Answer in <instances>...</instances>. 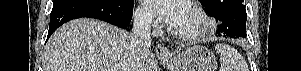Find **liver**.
<instances>
[{
  "label": "liver",
  "instance_id": "1",
  "mask_svg": "<svg viewBox=\"0 0 301 71\" xmlns=\"http://www.w3.org/2000/svg\"><path fill=\"white\" fill-rule=\"evenodd\" d=\"M154 64L133 34L89 18L58 28L43 54L44 71H154Z\"/></svg>",
  "mask_w": 301,
  "mask_h": 71
}]
</instances>
